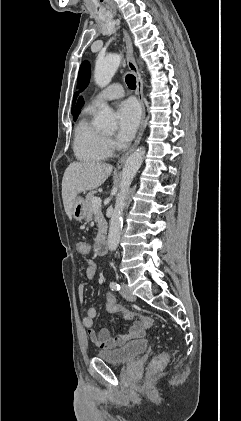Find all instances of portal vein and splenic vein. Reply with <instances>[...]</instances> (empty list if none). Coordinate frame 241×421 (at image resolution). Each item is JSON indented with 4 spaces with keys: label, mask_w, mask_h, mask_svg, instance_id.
Instances as JSON below:
<instances>
[{
    "label": "portal vein and splenic vein",
    "mask_w": 241,
    "mask_h": 421,
    "mask_svg": "<svg viewBox=\"0 0 241 421\" xmlns=\"http://www.w3.org/2000/svg\"><path fill=\"white\" fill-rule=\"evenodd\" d=\"M101 203H102V200L99 197H94L93 200H92V205H93L94 208L101 207Z\"/></svg>",
    "instance_id": "obj_1"
}]
</instances>
